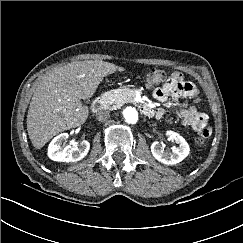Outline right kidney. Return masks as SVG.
Here are the masks:
<instances>
[{"instance_id": "ca27d5eb", "label": "right kidney", "mask_w": 243, "mask_h": 243, "mask_svg": "<svg viewBox=\"0 0 243 243\" xmlns=\"http://www.w3.org/2000/svg\"><path fill=\"white\" fill-rule=\"evenodd\" d=\"M69 138L68 133H61L49 144L48 157L58 162H77L83 159L89 152L90 143L82 141L79 145H67L62 148L63 141Z\"/></svg>"}]
</instances>
